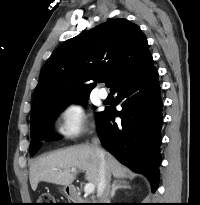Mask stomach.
I'll return each mask as SVG.
<instances>
[{
  "instance_id": "stomach-1",
  "label": "stomach",
  "mask_w": 200,
  "mask_h": 205,
  "mask_svg": "<svg viewBox=\"0 0 200 205\" xmlns=\"http://www.w3.org/2000/svg\"><path fill=\"white\" fill-rule=\"evenodd\" d=\"M63 191H64L65 194H67V188L66 187L63 189Z\"/></svg>"
}]
</instances>
